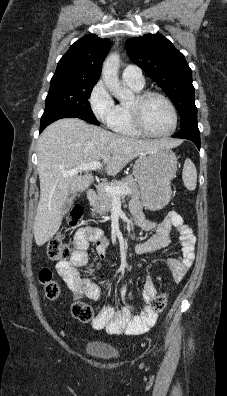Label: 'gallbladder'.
I'll return each instance as SVG.
<instances>
[{
  "instance_id": "obj_1",
  "label": "gallbladder",
  "mask_w": 227,
  "mask_h": 396,
  "mask_svg": "<svg viewBox=\"0 0 227 396\" xmlns=\"http://www.w3.org/2000/svg\"><path fill=\"white\" fill-rule=\"evenodd\" d=\"M75 196L76 194L73 193V194H69L68 197L66 198L65 203L61 209L63 215L67 214V212L70 210Z\"/></svg>"
}]
</instances>
